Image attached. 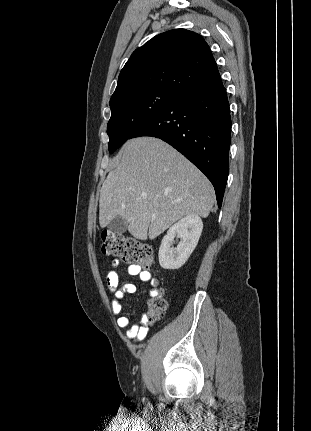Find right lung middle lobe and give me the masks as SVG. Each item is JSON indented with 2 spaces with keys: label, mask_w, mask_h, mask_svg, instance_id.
Masks as SVG:
<instances>
[{
  "label": "right lung middle lobe",
  "mask_w": 311,
  "mask_h": 431,
  "mask_svg": "<svg viewBox=\"0 0 311 431\" xmlns=\"http://www.w3.org/2000/svg\"><path fill=\"white\" fill-rule=\"evenodd\" d=\"M179 95L163 90L144 89L111 98V118L107 125L110 153L118 149L138 127Z\"/></svg>",
  "instance_id": "obj_1"
}]
</instances>
